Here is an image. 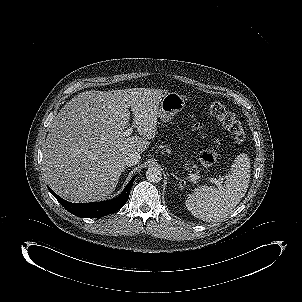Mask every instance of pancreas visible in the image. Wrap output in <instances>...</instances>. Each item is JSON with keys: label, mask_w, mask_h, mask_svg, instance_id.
Wrapping results in <instances>:
<instances>
[{"label": "pancreas", "mask_w": 302, "mask_h": 302, "mask_svg": "<svg viewBox=\"0 0 302 302\" xmlns=\"http://www.w3.org/2000/svg\"><path fill=\"white\" fill-rule=\"evenodd\" d=\"M190 165H191V163H189L188 161H186L184 168H185L186 170H189V169L191 170V169H193V168H196V169H197V166H196V165H193V167H191Z\"/></svg>", "instance_id": "obj_1"}]
</instances>
